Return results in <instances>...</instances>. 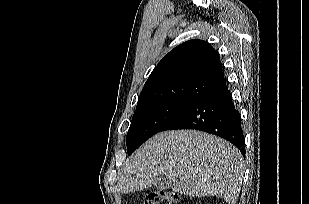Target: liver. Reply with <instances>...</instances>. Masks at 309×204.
<instances>
[{"label":"liver","instance_id":"obj_1","mask_svg":"<svg viewBox=\"0 0 309 204\" xmlns=\"http://www.w3.org/2000/svg\"><path fill=\"white\" fill-rule=\"evenodd\" d=\"M244 161L226 140L196 130L158 133L125 163L118 188L127 194L151 187L157 177L172 181L173 191L188 196H216L235 204Z\"/></svg>","mask_w":309,"mask_h":204}]
</instances>
